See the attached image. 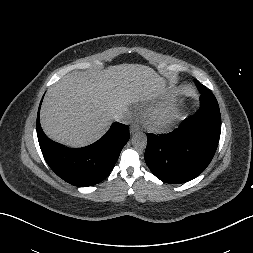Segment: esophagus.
<instances>
[{"label":"esophagus","mask_w":253,"mask_h":253,"mask_svg":"<svg viewBox=\"0 0 253 253\" xmlns=\"http://www.w3.org/2000/svg\"><path fill=\"white\" fill-rule=\"evenodd\" d=\"M138 131H139V126H138V125L132 124V125L130 126V134H134V133H136V132H138Z\"/></svg>","instance_id":"esophagus-1"}]
</instances>
